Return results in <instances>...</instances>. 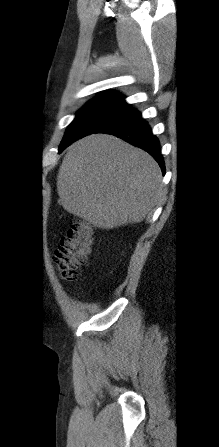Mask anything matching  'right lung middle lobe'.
Masks as SVG:
<instances>
[{
    "mask_svg": "<svg viewBox=\"0 0 219 447\" xmlns=\"http://www.w3.org/2000/svg\"><path fill=\"white\" fill-rule=\"evenodd\" d=\"M135 109L124 101V97L114 92H106L82 107L75 120L68 126L60 145V151L74 141L95 133L106 124Z\"/></svg>",
    "mask_w": 219,
    "mask_h": 447,
    "instance_id": "right-lung-middle-lobe-1",
    "label": "right lung middle lobe"
}]
</instances>
